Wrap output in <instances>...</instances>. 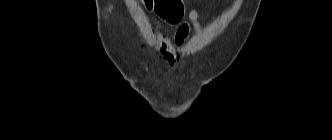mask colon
<instances>
[{
  "mask_svg": "<svg viewBox=\"0 0 332 140\" xmlns=\"http://www.w3.org/2000/svg\"><path fill=\"white\" fill-rule=\"evenodd\" d=\"M145 6L168 22L180 20L184 14L183 0H144Z\"/></svg>",
  "mask_w": 332,
  "mask_h": 140,
  "instance_id": "colon-1",
  "label": "colon"
}]
</instances>
